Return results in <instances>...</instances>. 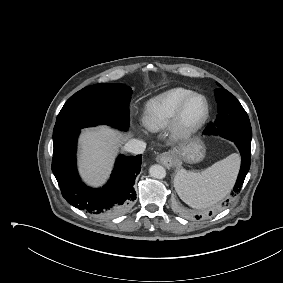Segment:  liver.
Masks as SVG:
<instances>
[{
  "label": "liver",
  "instance_id": "liver-1",
  "mask_svg": "<svg viewBox=\"0 0 283 283\" xmlns=\"http://www.w3.org/2000/svg\"><path fill=\"white\" fill-rule=\"evenodd\" d=\"M131 134H123L109 126L85 129L79 139V171L92 186L102 185L111 171L114 158Z\"/></svg>",
  "mask_w": 283,
  "mask_h": 283
}]
</instances>
